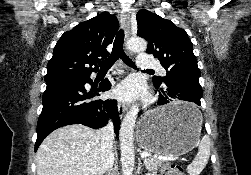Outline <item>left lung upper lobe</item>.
I'll return each instance as SVG.
<instances>
[{
  "label": "left lung upper lobe",
  "instance_id": "obj_1",
  "mask_svg": "<svg viewBox=\"0 0 251 175\" xmlns=\"http://www.w3.org/2000/svg\"><path fill=\"white\" fill-rule=\"evenodd\" d=\"M136 18L137 35L148 41L146 52L158 58L167 70L166 77H154L153 82L161 85L174 76L199 81L200 70L186 31L146 9L140 10Z\"/></svg>",
  "mask_w": 251,
  "mask_h": 175
}]
</instances>
